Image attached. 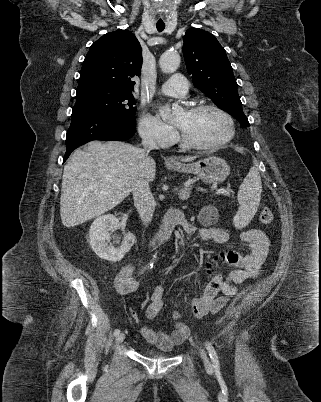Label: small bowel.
<instances>
[{"label":"small bowel","instance_id":"1","mask_svg":"<svg viewBox=\"0 0 321 402\" xmlns=\"http://www.w3.org/2000/svg\"><path fill=\"white\" fill-rule=\"evenodd\" d=\"M184 229L189 235H195L202 241H212L218 245H225L229 239L228 232L223 228L196 227L186 223ZM239 238L250 247V254L242 255L235 250L225 249L214 254L201 269V272L207 274L209 280L202 297L192 299L189 302L195 316L204 315L195 313L197 304L202 300H211L208 312L215 314L223 309L230 298L235 295L239 284L259 275L268 254L269 241L267 236L263 231L252 228L242 231ZM221 264L231 268L226 278L218 271ZM115 284L117 291L122 295L135 292L139 287V282L133 276V267H123L115 279ZM219 293H222V296L217 297ZM163 307L164 287L155 285L146 309L147 318H156ZM171 317L174 320V329L170 334L157 332L149 326H143L140 329L142 337L148 343L164 350H170L174 345L182 343L189 336L190 327L182 322V315L176 309V305L171 312Z\"/></svg>","mask_w":321,"mask_h":402}]
</instances>
